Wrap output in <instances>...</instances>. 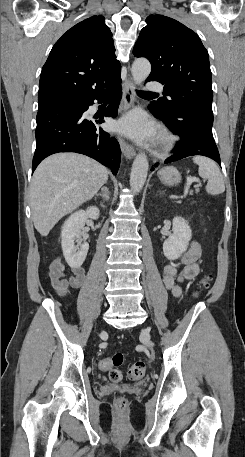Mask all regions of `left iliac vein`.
<instances>
[{"mask_svg": "<svg viewBox=\"0 0 245 457\" xmlns=\"http://www.w3.org/2000/svg\"><path fill=\"white\" fill-rule=\"evenodd\" d=\"M142 339H143V342L147 344V346H150V335H149L148 329H144L142 331Z\"/></svg>", "mask_w": 245, "mask_h": 457, "instance_id": "1", "label": "left iliac vein"}]
</instances>
